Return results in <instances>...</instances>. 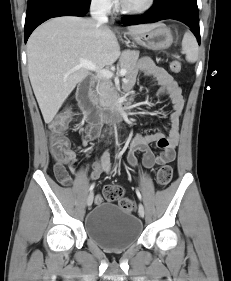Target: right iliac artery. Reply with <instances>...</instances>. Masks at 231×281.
Returning <instances> with one entry per match:
<instances>
[{"mask_svg": "<svg viewBox=\"0 0 231 281\" xmlns=\"http://www.w3.org/2000/svg\"><path fill=\"white\" fill-rule=\"evenodd\" d=\"M94 184H92L91 186H90V188H89V191L91 192L93 189H94Z\"/></svg>", "mask_w": 231, "mask_h": 281, "instance_id": "1", "label": "right iliac artery"}]
</instances>
